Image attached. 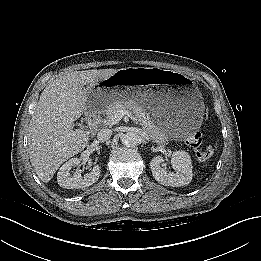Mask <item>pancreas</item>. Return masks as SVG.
Returning <instances> with one entry per match:
<instances>
[{
  "instance_id": "1",
  "label": "pancreas",
  "mask_w": 261,
  "mask_h": 261,
  "mask_svg": "<svg viewBox=\"0 0 261 261\" xmlns=\"http://www.w3.org/2000/svg\"><path fill=\"white\" fill-rule=\"evenodd\" d=\"M128 110L140 122L143 129L149 134L151 140L157 144H165L168 137L155 125L151 117L146 112L142 105H139L134 100L129 101H115L112 102L105 110L106 120H108L117 110Z\"/></svg>"
}]
</instances>
